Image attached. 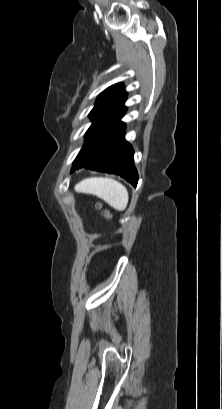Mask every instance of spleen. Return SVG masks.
<instances>
[{
  "instance_id": "3e777b00",
  "label": "spleen",
  "mask_w": 222,
  "mask_h": 409,
  "mask_svg": "<svg viewBox=\"0 0 222 409\" xmlns=\"http://www.w3.org/2000/svg\"><path fill=\"white\" fill-rule=\"evenodd\" d=\"M79 193L95 195L118 211L126 209L129 195L126 187L111 178L92 177L75 185Z\"/></svg>"
}]
</instances>
